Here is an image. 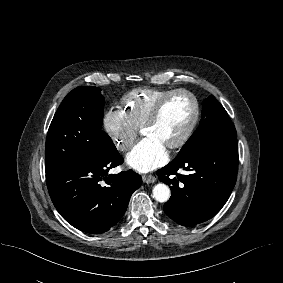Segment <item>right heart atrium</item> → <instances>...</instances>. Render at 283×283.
<instances>
[{"instance_id": "right-heart-atrium-1", "label": "right heart atrium", "mask_w": 283, "mask_h": 283, "mask_svg": "<svg viewBox=\"0 0 283 283\" xmlns=\"http://www.w3.org/2000/svg\"><path fill=\"white\" fill-rule=\"evenodd\" d=\"M103 126L117 149L129 151L138 136L139 129L130 121L123 110L111 108L103 116Z\"/></svg>"}]
</instances>
